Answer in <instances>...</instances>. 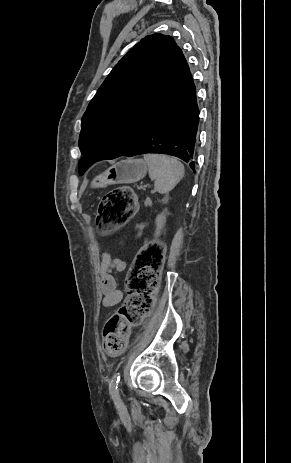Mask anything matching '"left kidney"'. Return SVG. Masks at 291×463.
<instances>
[{
	"instance_id": "1",
	"label": "left kidney",
	"mask_w": 291,
	"mask_h": 463,
	"mask_svg": "<svg viewBox=\"0 0 291 463\" xmlns=\"http://www.w3.org/2000/svg\"><path fill=\"white\" fill-rule=\"evenodd\" d=\"M169 198L166 196L163 198L162 202L163 203H168ZM167 209H165L161 214H159L156 217L155 223H156V231H155V237H158L161 233V230L165 226L166 223V215H168Z\"/></svg>"
}]
</instances>
